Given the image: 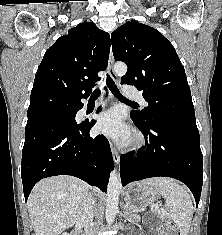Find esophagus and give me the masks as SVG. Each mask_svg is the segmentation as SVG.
<instances>
[{
    "label": "esophagus",
    "mask_w": 222,
    "mask_h": 235,
    "mask_svg": "<svg viewBox=\"0 0 222 235\" xmlns=\"http://www.w3.org/2000/svg\"><path fill=\"white\" fill-rule=\"evenodd\" d=\"M113 64H114V56H113L112 49H111L110 54H109V61H108V72H109L111 78L114 81H117L118 78L113 70ZM111 152H112V157H113L115 164H118L120 161V156H119V153H118L117 149L115 148V146H113V144H111Z\"/></svg>",
    "instance_id": "1"
}]
</instances>
